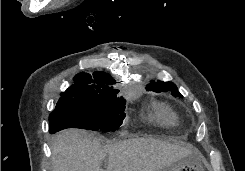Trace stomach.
Returning a JSON list of instances; mask_svg holds the SVG:
<instances>
[{
	"label": "stomach",
	"mask_w": 245,
	"mask_h": 171,
	"mask_svg": "<svg viewBox=\"0 0 245 171\" xmlns=\"http://www.w3.org/2000/svg\"><path fill=\"white\" fill-rule=\"evenodd\" d=\"M160 171H204V168L199 160L194 159L192 156H188L181 159L171 168H164Z\"/></svg>",
	"instance_id": "stomach-1"
}]
</instances>
